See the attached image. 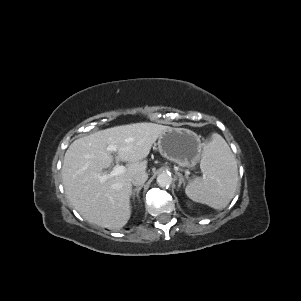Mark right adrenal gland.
I'll list each match as a JSON object with an SVG mask.
<instances>
[{
	"mask_svg": "<svg viewBox=\"0 0 301 301\" xmlns=\"http://www.w3.org/2000/svg\"><path fill=\"white\" fill-rule=\"evenodd\" d=\"M142 185L141 186H139V187H137V188H135L133 191H132V199L134 200L135 199V196L139 199V192H140V190L142 189Z\"/></svg>",
	"mask_w": 301,
	"mask_h": 301,
	"instance_id": "right-adrenal-gland-1",
	"label": "right adrenal gland"
}]
</instances>
